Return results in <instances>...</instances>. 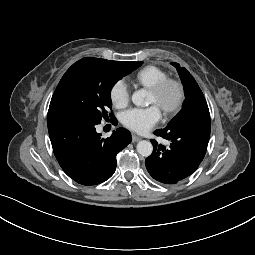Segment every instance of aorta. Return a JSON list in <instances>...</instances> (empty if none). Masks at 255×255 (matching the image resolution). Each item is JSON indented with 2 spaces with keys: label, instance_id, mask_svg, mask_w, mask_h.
<instances>
[{
  "label": "aorta",
  "instance_id": "762f6f07",
  "mask_svg": "<svg viewBox=\"0 0 255 255\" xmlns=\"http://www.w3.org/2000/svg\"><path fill=\"white\" fill-rule=\"evenodd\" d=\"M132 102L136 106H148L150 104V101L148 99V92L144 89L135 91L132 95ZM136 148L137 152L144 157L150 156L153 151V146L151 142L146 140L139 141Z\"/></svg>",
  "mask_w": 255,
  "mask_h": 255
}]
</instances>
